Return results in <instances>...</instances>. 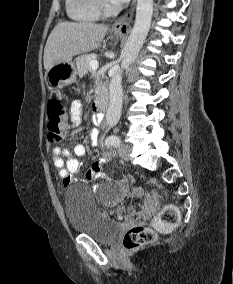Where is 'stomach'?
Segmentation results:
<instances>
[{
	"mask_svg": "<svg viewBox=\"0 0 233 284\" xmlns=\"http://www.w3.org/2000/svg\"><path fill=\"white\" fill-rule=\"evenodd\" d=\"M116 36H119L116 34ZM47 81L52 88L61 89L77 78V70L72 60L60 62L52 66L46 73Z\"/></svg>",
	"mask_w": 233,
	"mask_h": 284,
	"instance_id": "0dacf381",
	"label": "stomach"
}]
</instances>
